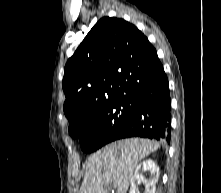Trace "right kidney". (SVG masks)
<instances>
[{
  "label": "right kidney",
  "mask_w": 221,
  "mask_h": 193,
  "mask_svg": "<svg viewBox=\"0 0 221 193\" xmlns=\"http://www.w3.org/2000/svg\"><path fill=\"white\" fill-rule=\"evenodd\" d=\"M149 171L150 178L145 179L143 173ZM159 178V167L152 160L148 159L139 164L134 172V175L131 178V189L129 193H137L138 184L140 182H144L146 185L145 193H155L156 191V183Z\"/></svg>",
  "instance_id": "1"
}]
</instances>
